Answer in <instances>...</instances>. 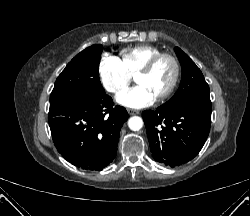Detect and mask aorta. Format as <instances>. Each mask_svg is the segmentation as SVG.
Masks as SVG:
<instances>
[{
    "label": "aorta",
    "mask_w": 250,
    "mask_h": 216,
    "mask_svg": "<svg viewBox=\"0 0 250 216\" xmlns=\"http://www.w3.org/2000/svg\"><path fill=\"white\" fill-rule=\"evenodd\" d=\"M128 126L132 131H138L143 126V120L138 116H133L128 120Z\"/></svg>",
    "instance_id": "aorta-1"
}]
</instances>
